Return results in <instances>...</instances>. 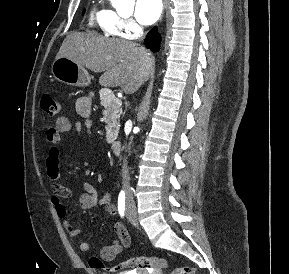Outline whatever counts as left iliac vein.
<instances>
[{
    "label": "left iliac vein",
    "instance_id": "obj_1",
    "mask_svg": "<svg viewBox=\"0 0 289 274\" xmlns=\"http://www.w3.org/2000/svg\"><path fill=\"white\" fill-rule=\"evenodd\" d=\"M126 216L129 222L135 226L138 227V222H137V217H136V212L133 209V207L130 205V203H127V208H126Z\"/></svg>",
    "mask_w": 289,
    "mask_h": 274
}]
</instances>
